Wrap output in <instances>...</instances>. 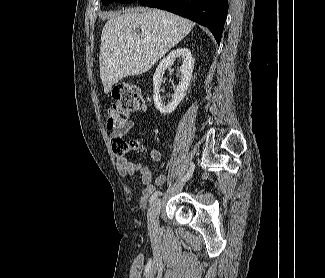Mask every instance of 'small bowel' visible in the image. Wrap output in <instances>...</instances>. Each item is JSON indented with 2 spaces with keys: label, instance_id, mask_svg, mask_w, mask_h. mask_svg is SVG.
Listing matches in <instances>:
<instances>
[{
  "label": "small bowel",
  "instance_id": "1",
  "mask_svg": "<svg viewBox=\"0 0 325 278\" xmlns=\"http://www.w3.org/2000/svg\"><path fill=\"white\" fill-rule=\"evenodd\" d=\"M134 126L135 123L132 120L127 121L111 134V140L114 142L117 138L126 135L134 128ZM116 155L118 171L123 177L134 178L137 173L140 174L141 183L144 185V188L140 193L139 202L141 204H145L151 194L154 192L156 185H162L165 182L166 176L164 174H160L156 176L154 181H152V174L147 166L141 163L133 162L128 157L120 156L117 152ZM150 158L152 161H159L161 159L160 151L156 149L151 150Z\"/></svg>",
  "mask_w": 325,
  "mask_h": 278
}]
</instances>
